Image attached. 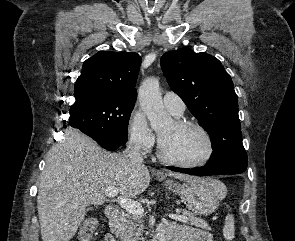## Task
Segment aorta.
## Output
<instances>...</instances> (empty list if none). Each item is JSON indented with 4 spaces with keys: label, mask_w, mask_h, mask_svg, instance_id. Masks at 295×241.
Masks as SVG:
<instances>
[{
    "label": "aorta",
    "mask_w": 295,
    "mask_h": 241,
    "mask_svg": "<svg viewBox=\"0 0 295 241\" xmlns=\"http://www.w3.org/2000/svg\"><path fill=\"white\" fill-rule=\"evenodd\" d=\"M138 97L152 129L159 130L172 122V117L164 109L157 78L145 79L139 87Z\"/></svg>",
    "instance_id": "aorta-1"
}]
</instances>
